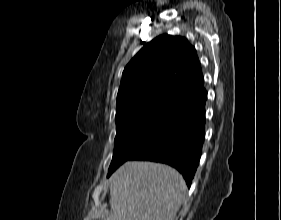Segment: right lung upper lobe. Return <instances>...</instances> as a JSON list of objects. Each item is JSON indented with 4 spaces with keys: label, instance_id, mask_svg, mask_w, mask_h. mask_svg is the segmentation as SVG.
Listing matches in <instances>:
<instances>
[{
    "label": "right lung upper lobe",
    "instance_id": "1",
    "mask_svg": "<svg viewBox=\"0 0 281 220\" xmlns=\"http://www.w3.org/2000/svg\"><path fill=\"white\" fill-rule=\"evenodd\" d=\"M204 92L195 48L184 37L161 35L145 44L125 67L116 120L149 114L170 117Z\"/></svg>",
    "mask_w": 281,
    "mask_h": 220
}]
</instances>
